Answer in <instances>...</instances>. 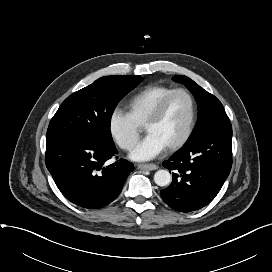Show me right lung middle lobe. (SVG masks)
I'll return each mask as SVG.
<instances>
[{"label":"right lung middle lobe","mask_w":272,"mask_h":272,"mask_svg":"<svg viewBox=\"0 0 272 272\" xmlns=\"http://www.w3.org/2000/svg\"><path fill=\"white\" fill-rule=\"evenodd\" d=\"M143 79L115 75L97 79L66 98L50 121L46 144L76 136H92L114 145L110 122L117 103Z\"/></svg>","instance_id":"dd1d6c3e"}]
</instances>
